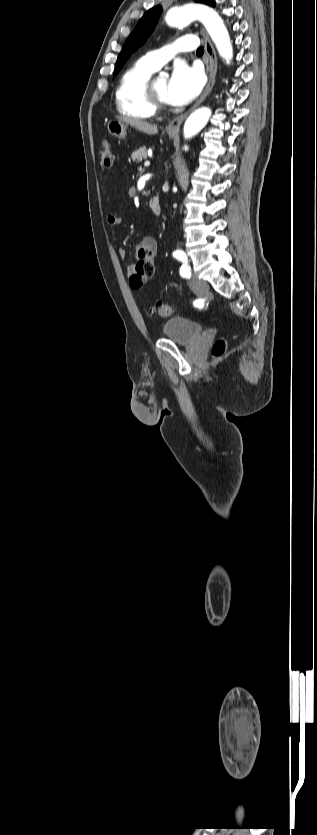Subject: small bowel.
<instances>
[{
    "instance_id": "1",
    "label": "small bowel",
    "mask_w": 317,
    "mask_h": 835,
    "mask_svg": "<svg viewBox=\"0 0 317 835\" xmlns=\"http://www.w3.org/2000/svg\"><path fill=\"white\" fill-rule=\"evenodd\" d=\"M107 223L110 226H117L121 223V218L117 214L110 213V214L107 215ZM156 254H157V243H156L155 239H153L151 237H145L138 243L137 250H136L137 262L140 259H143L145 261L154 262V260L156 258ZM118 255L121 259H125L126 258L125 249L122 248V247L118 248ZM134 267L135 266L130 265L128 267V271L132 273L134 271Z\"/></svg>"
}]
</instances>
